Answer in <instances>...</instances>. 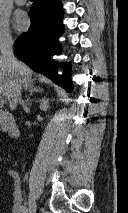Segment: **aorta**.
I'll return each mask as SVG.
<instances>
[{
  "label": "aorta",
  "mask_w": 128,
  "mask_h": 213,
  "mask_svg": "<svg viewBox=\"0 0 128 213\" xmlns=\"http://www.w3.org/2000/svg\"><path fill=\"white\" fill-rule=\"evenodd\" d=\"M6 3H7V0H0V10L4 9Z\"/></svg>",
  "instance_id": "aorta-1"
}]
</instances>
